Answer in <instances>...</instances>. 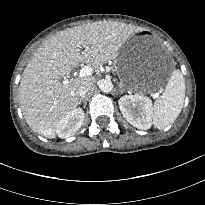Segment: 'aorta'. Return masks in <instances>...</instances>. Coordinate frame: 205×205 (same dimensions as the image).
<instances>
[{
    "instance_id": "obj_1",
    "label": "aorta",
    "mask_w": 205,
    "mask_h": 205,
    "mask_svg": "<svg viewBox=\"0 0 205 205\" xmlns=\"http://www.w3.org/2000/svg\"><path fill=\"white\" fill-rule=\"evenodd\" d=\"M98 86L102 92L109 93L113 89V83L110 79H102L99 81Z\"/></svg>"
}]
</instances>
